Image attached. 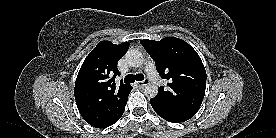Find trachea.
I'll list each match as a JSON object with an SVG mask.
<instances>
[{"label":"trachea","instance_id":"1","mask_svg":"<svg viewBox=\"0 0 276 138\" xmlns=\"http://www.w3.org/2000/svg\"><path fill=\"white\" fill-rule=\"evenodd\" d=\"M143 81L144 80V75L143 74H128L125 79L124 82L127 84L133 83L134 81Z\"/></svg>","mask_w":276,"mask_h":138}]
</instances>
